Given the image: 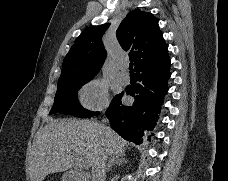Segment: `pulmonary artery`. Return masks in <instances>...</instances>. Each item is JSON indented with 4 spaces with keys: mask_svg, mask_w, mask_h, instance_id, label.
Masks as SVG:
<instances>
[{
    "mask_svg": "<svg viewBox=\"0 0 228 181\" xmlns=\"http://www.w3.org/2000/svg\"><path fill=\"white\" fill-rule=\"evenodd\" d=\"M118 79L126 80L128 79V74H118Z\"/></svg>",
    "mask_w": 228,
    "mask_h": 181,
    "instance_id": "e3ab8cb5",
    "label": "pulmonary artery"
}]
</instances>
